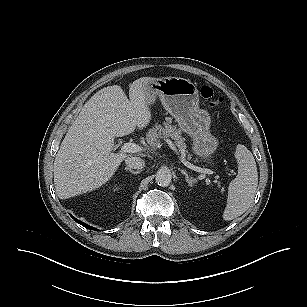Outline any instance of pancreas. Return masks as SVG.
Listing matches in <instances>:
<instances>
[{
  "label": "pancreas",
  "instance_id": "obj_1",
  "mask_svg": "<svg viewBox=\"0 0 307 307\" xmlns=\"http://www.w3.org/2000/svg\"><path fill=\"white\" fill-rule=\"evenodd\" d=\"M169 137L174 140L179 151L185 156L187 152L185 138L181 136V131L176 126L170 124V121L165 123L164 126L156 123L146 134V140L153 148L160 145V139ZM188 158H191V156L188 155Z\"/></svg>",
  "mask_w": 307,
  "mask_h": 307
}]
</instances>
